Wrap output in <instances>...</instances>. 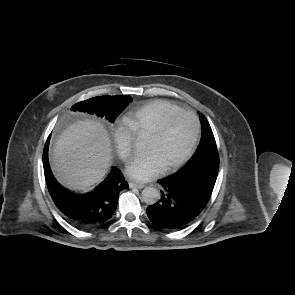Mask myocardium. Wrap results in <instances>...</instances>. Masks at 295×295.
Masks as SVG:
<instances>
[{
    "mask_svg": "<svg viewBox=\"0 0 295 295\" xmlns=\"http://www.w3.org/2000/svg\"><path fill=\"white\" fill-rule=\"evenodd\" d=\"M179 115H189L193 118L194 123H195V132H194L193 140H192L191 145H190L189 149L187 150V152L177 161L164 167V169H163L164 172H169V171L175 170V169L179 168L180 166H182L184 163H186L191 158V156L194 154V152L197 148L198 142H199V138H200V134H201V124H200L199 117L197 116V114L195 112H193L191 110H185V109H181V110L175 111V112L167 115L158 124V126L148 135V138H152V139L160 138L164 134L168 123L173 118H175L176 116H179Z\"/></svg>",
    "mask_w": 295,
    "mask_h": 295,
    "instance_id": "f54148a6",
    "label": "myocardium"
}]
</instances>
